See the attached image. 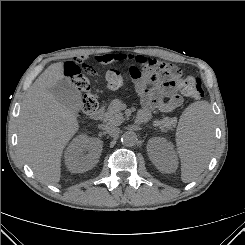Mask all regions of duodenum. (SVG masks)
Returning <instances> with one entry per match:
<instances>
[{"instance_id":"1","label":"duodenum","mask_w":245,"mask_h":245,"mask_svg":"<svg viewBox=\"0 0 245 245\" xmlns=\"http://www.w3.org/2000/svg\"><path fill=\"white\" fill-rule=\"evenodd\" d=\"M102 108H97L91 115L92 119L99 120L102 117Z\"/></svg>"}]
</instances>
